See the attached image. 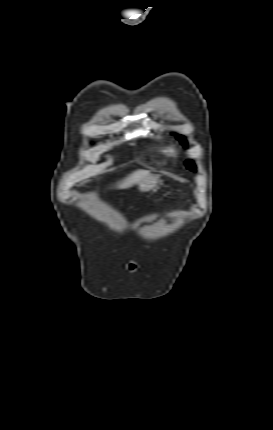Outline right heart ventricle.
Wrapping results in <instances>:
<instances>
[{
  "instance_id": "right-heart-ventricle-1",
  "label": "right heart ventricle",
  "mask_w": 273,
  "mask_h": 430,
  "mask_svg": "<svg viewBox=\"0 0 273 430\" xmlns=\"http://www.w3.org/2000/svg\"><path fill=\"white\" fill-rule=\"evenodd\" d=\"M154 161L158 164L164 163L170 155V149L163 145H153L151 147Z\"/></svg>"
}]
</instances>
